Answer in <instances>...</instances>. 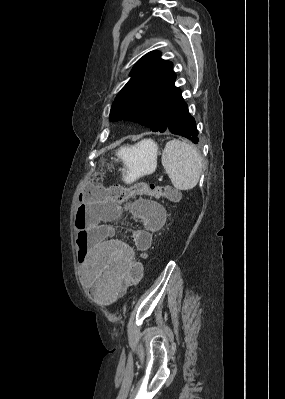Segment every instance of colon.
Instances as JSON below:
<instances>
[{
	"label": "colon",
	"mask_w": 285,
	"mask_h": 399,
	"mask_svg": "<svg viewBox=\"0 0 285 399\" xmlns=\"http://www.w3.org/2000/svg\"><path fill=\"white\" fill-rule=\"evenodd\" d=\"M85 188L87 190L101 193L100 179L93 176L86 181ZM106 195L111 200H126L134 196H151L155 199L165 197L171 201L179 198V192L170 186L155 185L153 183H138L133 187H124L121 185H113L106 190ZM143 264L141 261H134L130 267V279L140 281L143 277Z\"/></svg>",
	"instance_id": "1"
}]
</instances>
